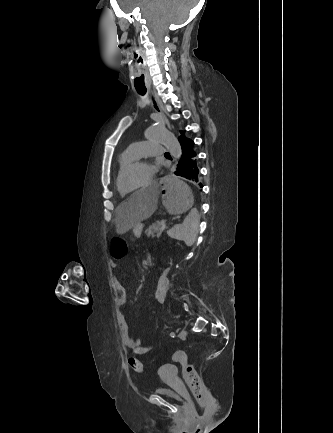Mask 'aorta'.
Segmentation results:
<instances>
[{
	"label": "aorta",
	"mask_w": 333,
	"mask_h": 433,
	"mask_svg": "<svg viewBox=\"0 0 333 433\" xmlns=\"http://www.w3.org/2000/svg\"><path fill=\"white\" fill-rule=\"evenodd\" d=\"M144 136L150 142L165 144L171 156L176 160L180 159L181 146L178 140L163 126L148 128Z\"/></svg>",
	"instance_id": "762f6f07"
}]
</instances>
